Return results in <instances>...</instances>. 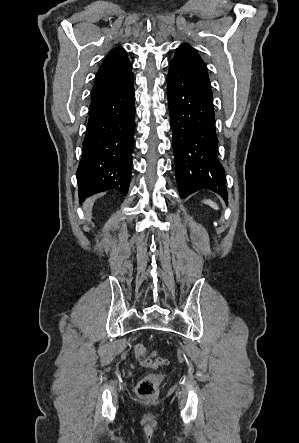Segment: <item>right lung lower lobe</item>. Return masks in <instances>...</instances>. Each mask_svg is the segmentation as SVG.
<instances>
[{
  "instance_id": "98d812e1",
  "label": "right lung lower lobe",
  "mask_w": 299,
  "mask_h": 443,
  "mask_svg": "<svg viewBox=\"0 0 299 443\" xmlns=\"http://www.w3.org/2000/svg\"><path fill=\"white\" fill-rule=\"evenodd\" d=\"M133 74L91 100L78 171L79 197L115 189L127 194L135 128Z\"/></svg>"
}]
</instances>
